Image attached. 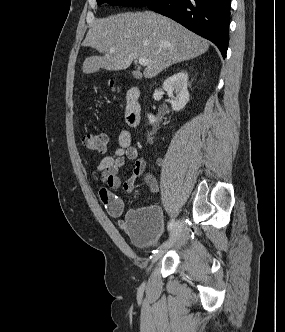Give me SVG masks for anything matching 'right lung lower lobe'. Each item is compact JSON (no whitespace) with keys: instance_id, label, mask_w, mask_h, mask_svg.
<instances>
[{"instance_id":"obj_1","label":"right lung lower lobe","mask_w":285,"mask_h":332,"mask_svg":"<svg viewBox=\"0 0 285 332\" xmlns=\"http://www.w3.org/2000/svg\"><path fill=\"white\" fill-rule=\"evenodd\" d=\"M231 0H153L146 6L212 41L226 56Z\"/></svg>"}]
</instances>
